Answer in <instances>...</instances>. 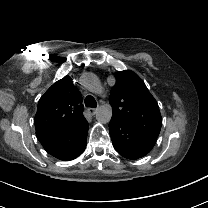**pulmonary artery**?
Listing matches in <instances>:
<instances>
[{"label":"pulmonary artery","instance_id":"pulmonary-artery-1","mask_svg":"<svg viewBox=\"0 0 208 208\" xmlns=\"http://www.w3.org/2000/svg\"><path fill=\"white\" fill-rule=\"evenodd\" d=\"M82 79H85L86 81L87 80H89V79H87V78H82ZM102 86L101 85H98L96 88H95V91H97V92H100V91H102Z\"/></svg>","mask_w":208,"mask_h":208}]
</instances>
